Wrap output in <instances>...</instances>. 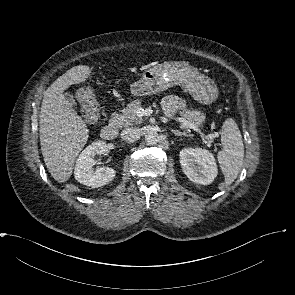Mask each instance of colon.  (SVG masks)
<instances>
[{
	"instance_id": "colon-1",
	"label": "colon",
	"mask_w": 295,
	"mask_h": 295,
	"mask_svg": "<svg viewBox=\"0 0 295 295\" xmlns=\"http://www.w3.org/2000/svg\"><path fill=\"white\" fill-rule=\"evenodd\" d=\"M84 118L88 123H93L98 118V107L95 104L91 94L86 97V106L84 108Z\"/></svg>"
}]
</instances>
